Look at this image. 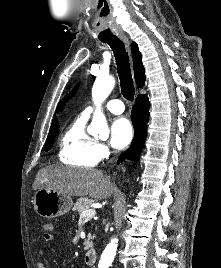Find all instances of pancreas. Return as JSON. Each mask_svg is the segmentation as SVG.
Instances as JSON below:
<instances>
[{
    "label": "pancreas",
    "mask_w": 221,
    "mask_h": 268,
    "mask_svg": "<svg viewBox=\"0 0 221 268\" xmlns=\"http://www.w3.org/2000/svg\"><path fill=\"white\" fill-rule=\"evenodd\" d=\"M94 200L88 197H82L77 200V202L74 204L73 211H77L79 214H81L84 210L91 208ZM91 235H88V240L84 242L85 248L88 249L92 247V242L90 241Z\"/></svg>",
    "instance_id": "cf45deb5"
}]
</instances>
